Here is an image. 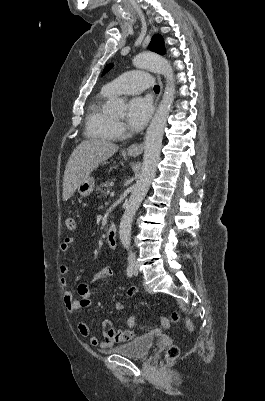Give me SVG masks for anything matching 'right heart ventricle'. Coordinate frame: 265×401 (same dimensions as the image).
Instances as JSON below:
<instances>
[{
	"label": "right heart ventricle",
	"instance_id": "1",
	"mask_svg": "<svg viewBox=\"0 0 265 401\" xmlns=\"http://www.w3.org/2000/svg\"><path fill=\"white\" fill-rule=\"evenodd\" d=\"M112 97L105 86L90 97L86 113V131L89 136L106 141L117 139L116 121L107 111V103Z\"/></svg>",
	"mask_w": 265,
	"mask_h": 401
}]
</instances>
